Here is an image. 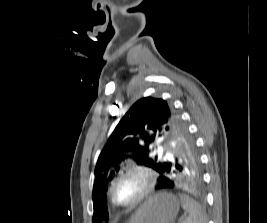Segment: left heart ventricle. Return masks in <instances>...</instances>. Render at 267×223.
Here are the masks:
<instances>
[{
  "instance_id": "left-heart-ventricle-1",
  "label": "left heart ventricle",
  "mask_w": 267,
  "mask_h": 223,
  "mask_svg": "<svg viewBox=\"0 0 267 223\" xmlns=\"http://www.w3.org/2000/svg\"><path fill=\"white\" fill-rule=\"evenodd\" d=\"M144 179L137 175L132 174L122 178L115 187V195L118 200L122 202L130 201L144 188Z\"/></svg>"
}]
</instances>
